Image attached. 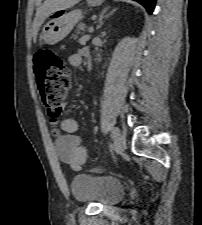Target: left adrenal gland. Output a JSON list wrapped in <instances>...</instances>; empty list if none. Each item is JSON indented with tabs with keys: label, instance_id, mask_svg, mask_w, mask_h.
Instances as JSON below:
<instances>
[{
	"label": "left adrenal gland",
	"instance_id": "a2214340",
	"mask_svg": "<svg viewBox=\"0 0 202 225\" xmlns=\"http://www.w3.org/2000/svg\"><path fill=\"white\" fill-rule=\"evenodd\" d=\"M115 10L111 11L109 14L105 15V13L107 12V9H105L101 15H100V19H99V28L103 25V19L105 18H108L110 15H112L114 13Z\"/></svg>",
	"mask_w": 202,
	"mask_h": 225
}]
</instances>
